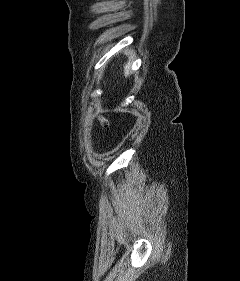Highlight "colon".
Returning a JSON list of instances; mask_svg holds the SVG:
<instances>
[{"label": "colon", "mask_w": 240, "mask_h": 281, "mask_svg": "<svg viewBox=\"0 0 240 281\" xmlns=\"http://www.w3.org/2000/svg\"><path fill=\"white\" fill-rule=\"evenodd\" d=\"M101 124L104 128H108L109 127V121L105 118L101 119Z\"/></svg>", "instance_id": "colon-1"}]
</instances>
